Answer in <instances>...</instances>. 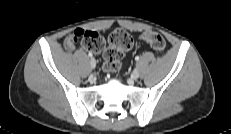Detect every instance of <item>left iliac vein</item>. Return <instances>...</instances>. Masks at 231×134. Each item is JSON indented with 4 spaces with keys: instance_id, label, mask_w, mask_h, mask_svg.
<instances>
[{
    "instance_id": "obj_1",
    "label": "left iliac vein",
    "mask_w": 231,
    "mask_h": 134,
    "mask_svg": "<svg viewBox=\"0 0 231 134\" xmlns=\"http://www.w3.org/2000/svg\"><path fill=\"white\" fill-rule=\"evenodd\" d=\"M139 76H140L139 70L135 69L131 75L132 79L136 80L139 78Z\"/></svg>"
}]
</instances>
